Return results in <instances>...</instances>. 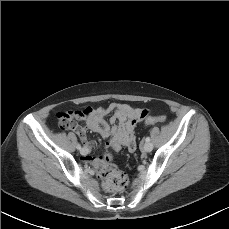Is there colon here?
I'll return each instance as SVG.
<instances>
[{"label":"colon","mask_w":229,"mask_h":229,"mask_svg":"<svg viewBox=\"0 0 229 229\" xmlns=\"http://www.w3.org/2000/svg\"><path fill=\"white\" fill-rule=\"evenodd\" d=\"M139 117L146 119V124H155L165 120L164 116H152L148 117V110L141 109ZM76 115L74 112H70L62 116L63 128H71L76 124ZM100 176L103 182L104 188L111 193H117L123 190L128 184V176L123 171L117 169L113 164L107 163L103 165Z\"/></svg>","instance_id":"obj_1"}]
</instances>
